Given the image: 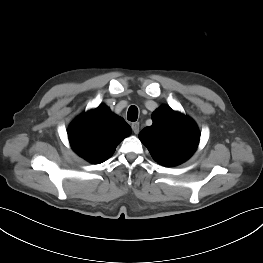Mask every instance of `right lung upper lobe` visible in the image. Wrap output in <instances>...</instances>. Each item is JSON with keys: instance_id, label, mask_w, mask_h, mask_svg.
I'll return each instance as SVG.
<instances>
[{"instance_id": "obj_1", "label": "right lung upper lobe", "mask_w": 263, "mask_h": 263, "mask_svg": "<svg viewBox=\"0 0 263 263\" xmlns=\"http://www.w3.org/2000/svg\"><path fill=\"white\" fill-rule=\"evenodd\" d=\"M130 133L131 128L125 120L101 104L72 121L68 137L79 156L99 164L110 158L116 146Z\"/></svg>"}]
</instances>
